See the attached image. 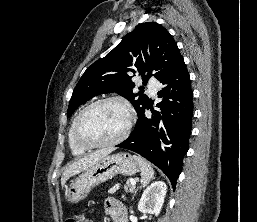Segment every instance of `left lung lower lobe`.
<instances>
[{
  "label": "left lung lower lobe",
  "mask_w": 257,
  "mask_h": 222,
  "mask_svg": "<svg viewBox=\"0 0 257 222\" xmlns=\"http://www.w3.org/2000/svg\"><path fill=\"white\" fill-rule=\"evenodd\" d=\"M166 85L158 97L164 100L156 105L148 119L144 112L130 136L116 147L134 151L159 167L169 178L173 188L182 170V160L188 151L193 117V92L190 76L183 57L160 80Z\"/></svg>",
  "instance_id": "obj_1"
}]
</instances>
